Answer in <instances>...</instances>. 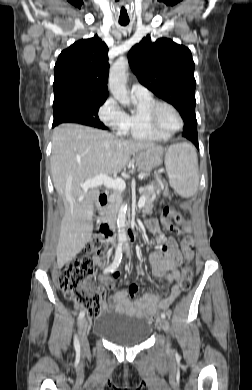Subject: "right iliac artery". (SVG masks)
<instances>
[{
	"label": "right iliac artery",
	"instance_id": "1",
	"mask_svg": "<svg viewBox=\"0 0 252 390\" xmlns=\"http://www.w3.org/2000/svg\"><path fill=\"white\" fill-rule=\"evenodd\" d=\"M121 259H122V246L119 245L116 249V252H115L114 261L112 262V264L108 268H106L104 270V273L114 272L118 268V266L121 262ZM84 315H85V313L83 311H81L78 319H82L84 317ZM74 347H75L76 351L80 350V343H79L77 336L74 337Z\"/></svg>",
	"mask_w": 252,
	"mask_h": 390
}]
</instances>
